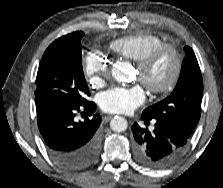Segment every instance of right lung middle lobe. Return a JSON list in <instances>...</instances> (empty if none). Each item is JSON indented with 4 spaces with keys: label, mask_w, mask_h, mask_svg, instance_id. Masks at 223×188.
Returning a JSON list of instances; mask_svg holds the SVG:
<instances>
[{
    "label": "right lung middle lobe",
    "mask_w": 223,
    "mask_h": 188,
    "mask_svg": "<svg viewBox=\"0 0 223 188\" xmlns=\"http://www.w3.org/2000/svg\"><path fill=\"white\" fill-rule=\"evenodd\" d=\"M76 31L54 41L44 52L36 77V98L83 105L90 92L82 69L81 39Z\"/></svg>",
    "instance_id": "1"
}]
</instances>
